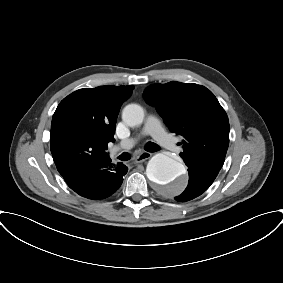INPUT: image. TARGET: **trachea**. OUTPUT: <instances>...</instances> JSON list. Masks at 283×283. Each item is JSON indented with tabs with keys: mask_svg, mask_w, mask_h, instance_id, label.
Masks as SVG:
<instances>
[{
	"mask_svg": "<svg viewBox=\"0 0 283 283\" xmlns=\"http://www.w3.org/2000/svg\"><path fill=\"white\" fill-rule=\"evenodd\" d=\"M145 150L148 151V152H156V151L160 150V147L153 142H148L145 146ZM119 159L122 160V161H127V160L130 159V155H129V153L124 152L119 156Z\"/></svg>",
	"mask_w": 283,
	"mask_h": 283,
	"instance_id": "1",
	"label": "trachea"
}]
</instances>
